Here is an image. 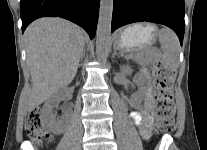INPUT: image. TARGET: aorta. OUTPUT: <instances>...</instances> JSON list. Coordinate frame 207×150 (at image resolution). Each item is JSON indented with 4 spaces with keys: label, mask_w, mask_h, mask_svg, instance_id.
Masks as SVG:
<instances>
[{
    "label": "aorta",
    "mask_w": 207,
    "mask_h": 150,
    "mask_svg": "<svg viewBox=\"0 0 207 150\" xmlns=\"http://www.w3.org/2000/svg\"><path fill=\"white\" fill-rule=\"evenodd\" d=\"M113 0H101L96 35V54L99 59L107 56L111 44Z\"/></svg>",
    "instance_id": "aorta-1"
}]
</instances>
